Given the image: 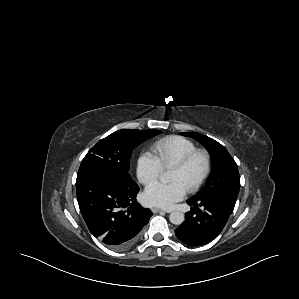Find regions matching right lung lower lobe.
Masks as SVG:
<instances>
[{"label":"right lung lower lobe","mask_w":299,"mask_h":299,"mask_svg":"<svg viewBox=\"0 0 299 299\" xmlns=\"http://www.w3.org/2000/svg\"><path fill=\"white\" fill-rule=\"evenodd\" d=\"M139 190L138 186L126 187L100 171L77 175V200L87 227L113 250L131 248L153 215L137 202Z\"/></svg>","instance_id":"98d812e1"}]
</instances>
